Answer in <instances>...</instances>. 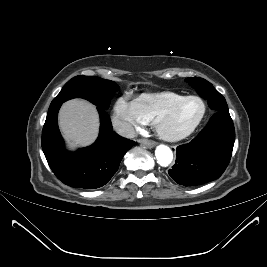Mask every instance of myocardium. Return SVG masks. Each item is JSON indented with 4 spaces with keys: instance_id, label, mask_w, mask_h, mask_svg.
<instances>
[{
    "instance_id": "myocardium-1",
    "label": "myocardium",
    "mask_w": 267,
    "mask_h": 267,
    "mask_svg": "<svg viewBox=\"0 0 267 267\" xmlns=\"http://www.w3.org/2000/svg\"><path fill=\"white\" fill-rule=\"evenodd\" d=\"M198 100L201 102L202 104V113L200 115V117L197 119V121L191 126L189 127L187 130L181 132V133H170L168 131H166L163 127L164 122L167 121L168 119H170L174 113L176 111L179 110V108L186 103L189 100ZM207 113V105L205 103V101L203 100V98H201L200 96L197 95H189V96H185L183 99H181L180 101H178L177 103H175L173 106H171L169 109H167L166 111H164L163 113H161L160 115H158L156 117V119L154 120V128L156 130V132L158 133V135L169 142H177L180 140H183L185 138H187L188 136H190L199 126L200 124L203 122L205 116Z\"/></svg>"
}]
</instances>
